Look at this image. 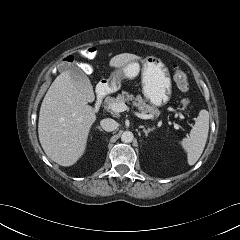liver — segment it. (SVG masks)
I'll list each match as a JSON object with an SVG mask.
<instances>
[{"label": "liver", "mask_w": 240, "mask_h": 240, "mask_svg": "<svg viewBox=\"0 0 240 240\" xmlns=\"http://www.w3.org/2000/svg\"><path fill=\"white\" fill-rule=\"evenodd\" d=\"M139 56L122 53L109 65L120 68ZM88 99L72 82L70 71H63L48 89L39 113L38 134L46 155L61 166L75 164L83 155L90 128L96 120Z\"/></svg>", "instance_id": "1"}]
</instances>
